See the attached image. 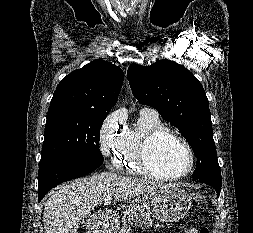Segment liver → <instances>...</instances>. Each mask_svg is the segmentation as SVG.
<instances>
[{
  "label": "liver",
  "instance_id": "6515ba94",
  "mask_svg": "<svg viewBox=\"0 0 253 233\" xmlns=\"http://www.w3.org/2000/svg\"><path fill=\"white\" fill-rule=\"evenodd\" d=\"M166 186L156 182L102 172L63 184L44 204L45 233H77L80 222L106 196L126 201Z\"/></svg>",
  "mask_w": 253,
  "mask_h": 233
}]
</instances>
